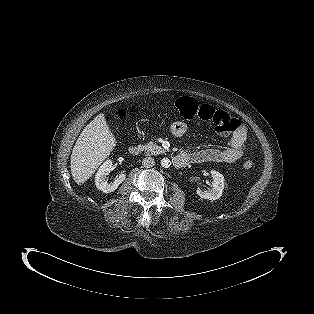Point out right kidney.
I'll return each mask as SVG.
<instances>
[{"instance_id": "right-kidney-1", "label": "right kidney", "mask_w": 314, "mask_h": 314, "mask_svg": "<svg viewBox=\"0 0 314 314\" xmlns=\"http://www.w3.org/2000/svg\"><path fill=\"white\" fill-rule=\"evenodd\" d=\"M111 167L112 161L106 160L99 168L95 176L96 187L104 193H110L115 191L126 178V175L121 173L116 176L113 182L108 183L106 176L109 175V173L111 172Z\"/></svg>"}]
</instances>
